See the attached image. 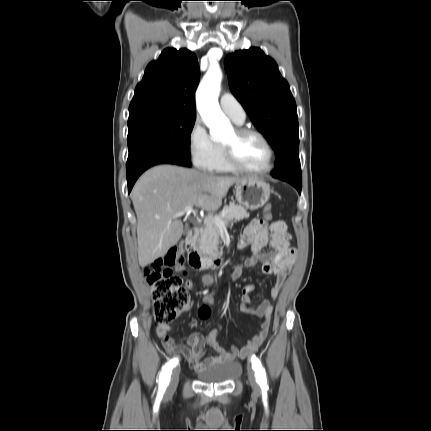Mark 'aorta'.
<instances>
[{
  "label": "aorta",
  "mask_w": 431,
  "mask_h": 431,
  "mask_svg": "<svg viewBox=\"0 0 431 431\" xmlns=\"http://www.w3.org/2000/svg\"><path fill=\"white\" fill-rule=\"evenodd\" d=\"M222 73L218 66L210 67L196 92L197 109L214 139L221 138L231 129L218 103Z\"/></svg>",
  "instance_id": "obj_1"
}]
</instances>
